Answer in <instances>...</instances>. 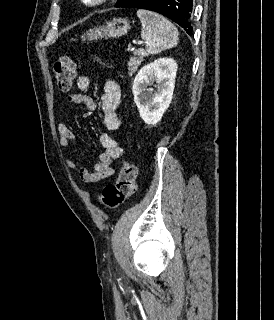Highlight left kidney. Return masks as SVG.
Segmentation results:
<instances>
[{
  "label": "left kidney",
  "instance_id": "1",
  "mask_svg": "<svg viewBox=\"0 0 274 320\" xmlns=\"http://www.w3.org/2000/svg\"><path fill=\"white\" fill-rule=\"evenodd\" d=\"M177 64L172 58H158L143 66L132 86L134 102L145 124L155 126L169 108L175 88ZM157 84V92L148 86Z\"/></svg>",
  "mask_w": 274,
  "mask_h": 320
}]
</instances>
